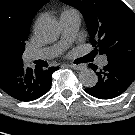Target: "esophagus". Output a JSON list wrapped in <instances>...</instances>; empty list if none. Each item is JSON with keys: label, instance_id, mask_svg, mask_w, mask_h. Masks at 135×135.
Wrapping results in <instances>:
<instances>
[{"label": "esophagus", "instance_id": "1", "mask_svg": "<svg viewBox=\"0 0 135 135\" xmlns=\"http://www.w3.org/2000/svg\"><path fill=\"white\" fill-rule=\"evenodd\" d=\"M69 67H71L74 70H83L86 66L83 64H71L69 65Z\"/></svg>", "mask_w": 135, "mask_h": 135}]
</instances>
